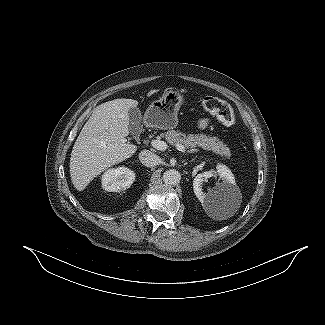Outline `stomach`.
Wrapping results in <instances>:
<instances>
[{"label": "stomach", "mask_w": 325, "mask_h": 325, "mask_svg": "<svg viewBox=\"0 0 325 325\" xmlns=\"http://www.w3.org/2000/svg\"><path fill=\"white\" fill-rule=\"evenodd\" d=\"M184 97L177 90H166L162 97L151 103L145 112V123L162 130L177 126V113L183 104Z\"/></svg>", "instance_id": "stomach-1"}]
</instances>
